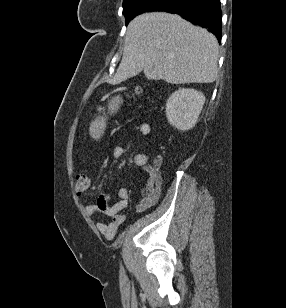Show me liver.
<instances>
[{
	"label": "liver",
	"instance_id": "liver-1",
	"mask_svg": "<svg viewBox=\"0 0 286 308\" xmlns=\"http://www.w3.org/2000/svg\"><path fill=\"white\" fill-rule=\"evenodd\" d=\"M218 42L206 29L178 15L153 12L128 25L124 52L110 80L119 84L141 71L171 84L212 83L217 78Z\"/></svg>",
	"mask_w": 286,
	"mask_h": 308
}]
</instances>
